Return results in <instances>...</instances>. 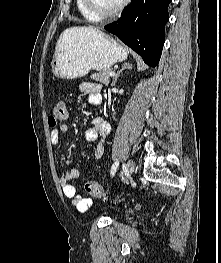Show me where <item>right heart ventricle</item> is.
Returning a JSON list of instances; mask_svg holds the SVG:
<instances>
[{
  "mask_svg": "<svg viewBox=\"0 0 221 263\" xmlns=\"http://www.w3.org/2000/svg\"><path fill=\"white\" fill-rule=\"evenodd\" d=\"M76 5L78 8V11L80 12V14L86 18L89 21H96L98 19H96L91 13H89L87 11V9L84 6L83 0H76Z\"/></svg>",
  "mask_w": 221,
  "mask_h": 263,
  "instance_id": "right-heart-ventricle-1",
  "label": "right heart ventricle"
}]
</instances>
